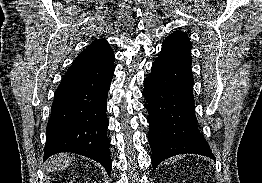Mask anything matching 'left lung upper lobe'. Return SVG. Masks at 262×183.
Masks as SVG:
<instances>
[{"label":"left lung upper lobe","instance_id":"obj_1","mask_svg":"<svg viewBox=\"0 0 262 183\" xmlns=\"http://www.w3.org/2000/svg\"><path fill=\"white\" fill-rule=\"evenodd\" d=\"M191 42L187 33L175 31L170 34L162 44V49L182 53L191 57Z\"/></svg>","mask_w":262,"mask_h":183}]
</instances>
